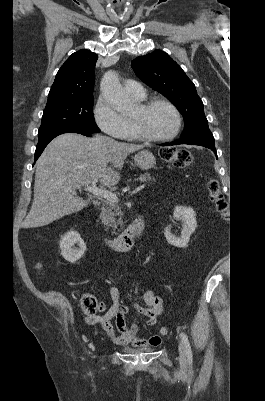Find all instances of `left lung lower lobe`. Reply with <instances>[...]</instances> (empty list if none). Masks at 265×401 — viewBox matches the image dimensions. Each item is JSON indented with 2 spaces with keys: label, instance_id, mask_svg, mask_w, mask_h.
Here are the masks:
<instances>
[{
  "label": "left lung lower lobe",
  "instance_id": "left-lung-lower-lobe-1",
  "mask_svg": "<svg viewBox=\"0 0 265 401\" xmlns=\"http://www.w3.org/2000/svg\"><path fill=\"white\" fill-rule=\"evenodd\" d=\"M179 144H190V145H200V146H204L206 148L211 149L216 157H217V153H216V149H215V143H214V137L211 133L210 130H206L203 132H199L190 136H186V137H180V139L171 142V143H164L161 144L162 146H168V145H179Z\"/></svg>",
  "mask_w": 265,
  "mask_h": 401
}]
</instances>
